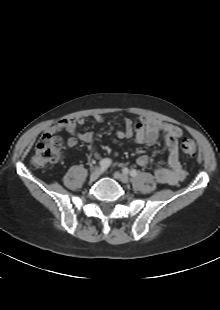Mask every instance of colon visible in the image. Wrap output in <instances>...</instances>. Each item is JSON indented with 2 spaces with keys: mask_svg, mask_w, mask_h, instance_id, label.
Instances as JSON below:
<instances>
[{
  "mask_svg": "<svg viewBox=\"0 0 220 310\" xmlns=\"http://www.w3.org/2000/svg\"><path fill=\"white\" fill-rule=\"evenodd\" d=\"M62 148V138L54 133H46L40 137L32 158L35 166L43 167L55 163L60 156ZM181 149L187 155L195 154L197 148L194 141L190 138H184L181 141Z\"/></svg>",
  "mask_w": 220,
  "mask_h": 310,
  "instance_id": "5ec220e1",
  "label": "colon"
}]
</instances>
